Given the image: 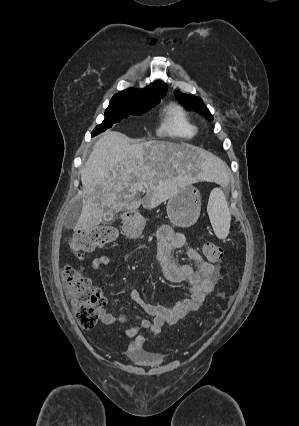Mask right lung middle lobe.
Instances as JSON below:
<instances>
[{
	"label": "right lung middle lobe",
	"mask_w": 299,
	"mask_h": 426,
	"mask_svg": "<svg viewBox=\"0 0 299 426\" xmlns=\"http://www.w3.org/2000/svg\"><path fill=\"white\" fill-rule=\"evenodd\" d=\"M165 94L166 91L146 93L137 100L112 98L105 111L103 122L93 130L92 136L111 128L114 123L120 122L129 115H142L144 112L157 105Z\"/></svg>",
	"instance_id": "obj_1"
}]
</instances>
